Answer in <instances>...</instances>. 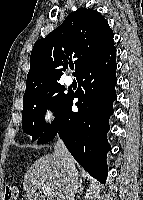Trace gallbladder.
<instances>
[{"label": "gallbladder", "mask_w": 143, "mask_h": 200, "mask_svg": "<svg viewBox=\"0 0 143 200\" xmlns=\"http://www.w3.org/2000/svg\"><path fill=\"white\" fill-rule=\"evenodd\" d=\"M32 200H41V199H39V198L36 197V196H33V197H32Z\"/></svg>", "instance_id": "obj_1"}]
</instances>
